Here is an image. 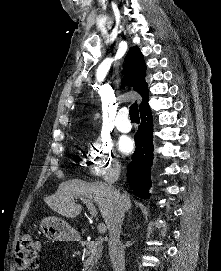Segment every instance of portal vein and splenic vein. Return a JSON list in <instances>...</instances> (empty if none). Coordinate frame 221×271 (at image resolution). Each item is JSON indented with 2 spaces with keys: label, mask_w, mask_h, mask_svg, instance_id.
<instances>
[{
  "label": "portal vein and splenic vein",
  "mask_w": 221,
  "mask_h": 271,
  "mask_svg": "<svg viewBox=\"0 0 221 271\" xmlns=\"http://www.w3.org/2000/svg\"><path fill=\"white\" fill-rule=\"evenodd\" d=\"M98 233L99 234H104L105 233V225H103V223H102V225H98Z\"/></svg>",
  "instance_id": "portal-vein-and-splenic-vein-1"
}]
</instances>
